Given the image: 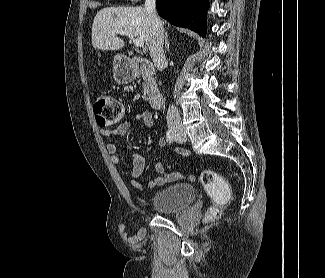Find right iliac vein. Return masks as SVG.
Returning a JSON list of instances; mask_svg holds the SVG:
<instances>
[{"label": "right iliac vein", "mask_w": 325, "mask_h": 278, "mask_svg": "<svg viewBox=\"0 0 325 278\" xmlns=\"http://www.w3.org/2000/svg\"><path fill=\"white\" fill-rule=\"evenodd\" d=\"M173 131H174L175 135H178V136H180V135L183 134V130L182 129H173Z\"/></svg>", "instance_id": "right-iliac-vein-1"}]
</instances>
